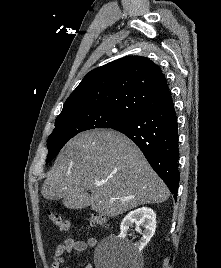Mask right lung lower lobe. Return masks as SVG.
<instances>
[{"label":"right lung lower lobe","mask_w":221,"mask_h":268,"mask_svg":"<svg viewBox=\"0 0 221 268\" xmlns=\"http://www.w3.org/2000/svg\"><path fill=\"white\" fill-rule=\"evenodd\" d=\"M112 129L125 134L138 145L176 200L180 174L178 124L173 103L118 124Z\"/></svg>","instance_id":"right-lung-lower-lobe-1"}]
</instances>
